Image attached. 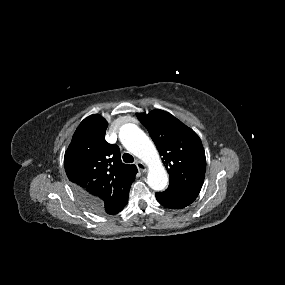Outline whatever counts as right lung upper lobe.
<instances>
[{"label":"right lung upper lobe","instance_id":"obj_1","mask_svg":"<svg viewBox=\"0 0 285 285\" xmlns=\"http://www.w3.org/2000/svg\"><path fill=\"white\" fill-rule=\"evenodd\" d=\"M107 125L98 114L85 118L65 153L64 166L79 199L101 214L113 215L127 204L137 167L123 164L119 147L106 142Z\"/></svg>","mask_w":285,"mask_h":285}]
</instances>
